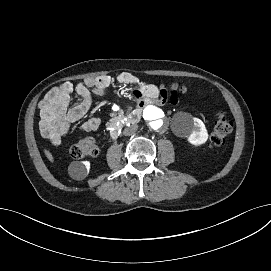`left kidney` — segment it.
Segmentation results:
<instances>
[{"mask_svg": "<svg viewBox=\"0 0 271 271\" xmlns=\"http://www.w3.org/2000/svg\"><path fill=\"white\" fill-rule=\"evenodd\" d=\"M185 136H189V139L194 144L202 143L207 139V133L205 126L198 118H189L188 127Z\"/></svg>", "mask_w": 271, "mask_h": 271, "instance_id": "obj_1", "label": "left kidney"}]
</instances>
